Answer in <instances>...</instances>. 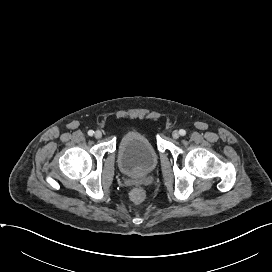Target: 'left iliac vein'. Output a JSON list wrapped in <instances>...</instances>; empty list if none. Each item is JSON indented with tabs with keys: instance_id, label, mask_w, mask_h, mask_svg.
<instances>
[{
	"instance_id": "1",
	"label": "left iliac vein",
	"mask_w": 272,
	"mask_h": 272,
	"mask_svg": "<svg viewBox=\"0 0 272 272\" xmlns=\"http://www.w3.org/2000/svg\"><path fill=\"white\" fill-rule=\"evenodd\" d=\"M172 137H173L174 139H178V138H179V132H178V131H173Z\"/></svg>"
}]
</instances>
